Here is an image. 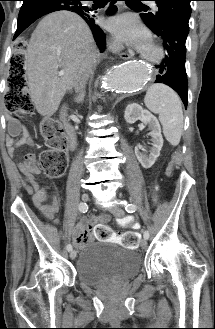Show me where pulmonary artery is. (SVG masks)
<instances>
[{
	"mask_svg": "<svg viewBox=\"0 0 215 329\" xmlns=\"http://www.w3.org/2000/svg\"><path fill=\"white\" fill-rule=\"evenodd\" d=\"M153 7L156 9L157 8L156 4H153Z\"/></svg>",
	"mask_w": 215,
	"mask_h": 329,
	"instance_id": "e3ab8cb5",
	"label": "pulmonary artery"
}]
</instances>
